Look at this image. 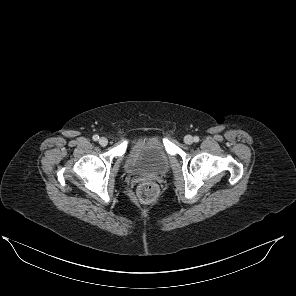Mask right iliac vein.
<instances>
[{
    "mask_svg": "<svg viewBox=\"0 0 296 296\" xmlns=\"http://www.w3.org/2000/svg\"><path fill=\"white\" fill-rule=\"evenodd\" d=\"M99 144H100L101 146H106V145L108 144V140H107V138H105V137H101V138L99 139Z\"/></svg>",
    "mask_w": 296,
    "mask_h": 296,
    "instance_id": "right-iliac-vein-1",
    "label": "right iliac vein"
}]
</instances>
